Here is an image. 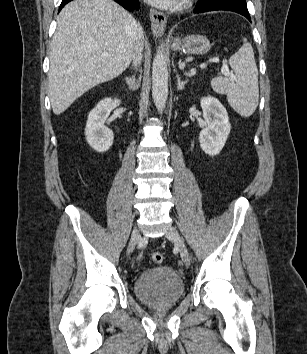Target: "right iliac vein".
Masks as SVG:
<instances>
[{"label": "right iliac vein", "instance_id": "right-iliac-vein-1", "mask_svg": "<svg viewBox=\"0 0 307 354\" xmlns=\"http://www.w3.org/2000/svg\"><path fill=\"white\" fill-rule=\"evenodd\" d=\"M140 239H141V236H140L139 230L135 227L132 231L130 242H129V245L127 248V256L133 252L135 246L140 241Z\"/></svg>", "mask_w": 307, "mask_h": 354}]
</instances>
